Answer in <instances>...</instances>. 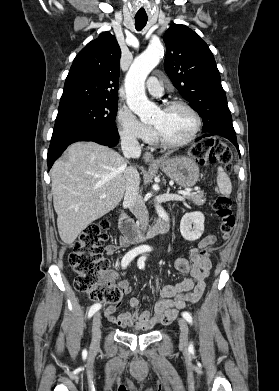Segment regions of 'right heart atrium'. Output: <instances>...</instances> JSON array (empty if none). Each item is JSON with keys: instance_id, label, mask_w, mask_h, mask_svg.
Instances as JSON below:
<instances>
[{"instance_id": "right-heart-atrium-1", "label": "right heart atrium", "mask_w": 279, "mask_h": 391, "mask_svg": "<svg viewBox=\"0 0 279 391\" xmlns=\"http://www.w3.org/2000/svg\"><path fill=\"white\" fill-rule=\"evenodd\" d=\"M117 126L120 136L129 141L138 142L149 140L152 129L140 121L131 110L121 107L117 112Z\"/></svg>"}]
</instances>
